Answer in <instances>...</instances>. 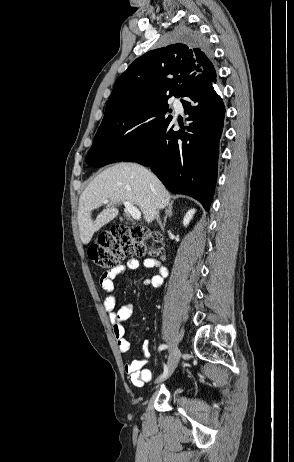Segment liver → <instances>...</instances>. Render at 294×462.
<instances>
[{
    "label": "liver",
    "instance_id": "liver-1",
    "mask_svg": "<svg viewBox=\"0 0 294 462\" xmlns=\"http://www.w3.org/2000/svg\"><path fill=\"white\" fill-rule=\"evenodd\" d=\"M170 194L148 169L135 163H118L103 170L91 181L79 198L78 225L83 244L118 214L117 205L129 201L139 207L147 223L169 204ZM110 200L95 220L92 211Z\"/></svg>",
    "mask_w": 294,
    "mask_h": 462
}]
</instances>
